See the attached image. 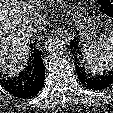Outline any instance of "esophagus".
I'll use <instances>...</instances> for the list:
<instances>
[{"instance_id": "esophagus-1", "label": "esophagus", "mask_w": 113, "mask_h": 113, "mask_svg": "<svg viewBox=\"0 0 113 113\" xmlns=\"http://www.w3.org/2000/svg\"><path fill=\"white\" fill-rule=\"evenodd\" d=\"M57 34L60 38H62L66 42H69L72 38L71 34L64 28H59L57 30Z\"/></svg>"}]
</instances>
